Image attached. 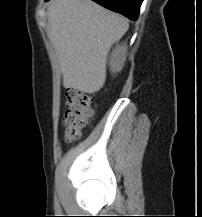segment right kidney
I'll return each mask as SVG.
<instances>
[{
	"label": "right kidney",
	"instance_id": "obj_1",
	"mask_svg": "<svg viewBox=\"0 0 202 217\" xmlns=\"http://www.w3.org/2000/svg\"><path fill=\"white\" fill-rule=\"evenodd\" d=\"M127 47L125 45H117L112 52L110 58V69L112 73L120 72L126 60Z\"/></svg>",
	"mask_w": 202,
	"mask_h": 217
}]
</instances>
